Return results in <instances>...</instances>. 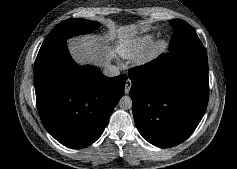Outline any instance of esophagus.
<instances>
[{"label":"esophagus","instance_id":"esophagus-1","mask_svg":"<svg viewBox=\"0 0 237 169\" xmlns=\"http://www.w3.org/2000/svg\"><path fill=\"white\" fill-rule=\"evenodd\" d=\"M132 82L130 79H127L126 84H125V93L128 94L131 88Z\"/></svg>","mask_w":237,"mask_h":169}]
</instances>
